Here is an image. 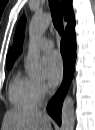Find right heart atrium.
<instances>
[{"label":"right heart atrium","mask_w":95,"mask_h":130,"mask_svg":"<svg viewBox=\"0 0 95 130\" xmlns=\"http://www.w3.org/2000/svg\"><path fill=\"white\" fill-rule=\"evenodd\" d=\"M35 88L40 99H43L47 94V86L42 80H34Z\"/></svg>","instance_id":"d8ad5b80"}]
</instances>
